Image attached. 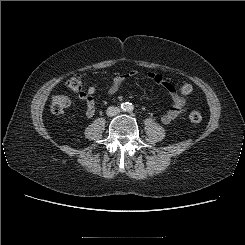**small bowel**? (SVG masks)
Returning a JSON list of instances; mask_svg holds the SVG:
<instances>
[{"label":"small bowel","mask_w":245,"mask_h":245,"mask_svg":"<svg viewBox=\"0 0 245 245\" xmlns=\"http://www.w3.org/2000/svg\"><path fill=\"white\" fill-rule=\"evenodd\" d=\"M136 74L137 71L132 70L129 71L128 73L116 76L112 80L108 88V94L109 95L115 94L125 80L134 77ZM147 77L148 79L154 81L155 83L165 88L172 99L171 108L161 116V121L164 124H169L184 113L186 109L185 98L176 90L175 86L171 82L164 79L160 74L155 72H148ZM95 92H96V86L90 85L86 91L81 92L79 95V98L85 102L86 116L89 118L95 115V100H94Z\"/></svg>","instance_id":"c3829d8e"}]
</instances>
